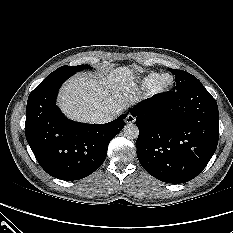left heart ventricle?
I'll use <instances>...</instances> for the list:
<instances>
[{
	"label": "left heart ventricle",
	"mask_w": 233,
	"mask_h": 233,
	"mask_svg": "<svg viewBox=\"0 0 233 233\" xmlns=\"http://www.w3.org/2000/svg\"><path fill=\"white\" fill-rule=\"evenodd\" d=\"M164 83H167L168 82V78H166V79H164V81H163Z\"/></svg>",
	"instance_id": "obj_1"
}]
</instances>
